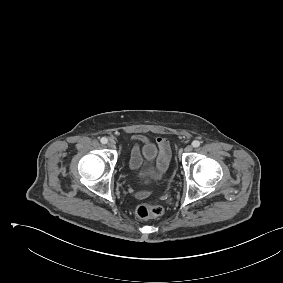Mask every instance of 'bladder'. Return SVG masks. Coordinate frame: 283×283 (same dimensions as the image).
<instances>
[{"instance_id":"1","label":"bladder","mask_w":283,"mask_h":283,"mask_svg":"<svg viewBox=\"0 0 283 283\" xmlns=\"http://www.w3.org/2000/svg\"><path fill=\"white\" fill-rule=\"evenodd\" d=\"M157 153V148L152 143H147L143 147V155L146 159H153Z\"/></svg>"}]
</instances>
